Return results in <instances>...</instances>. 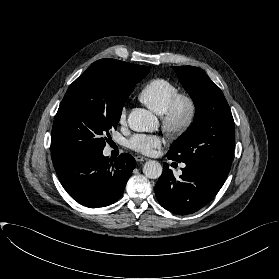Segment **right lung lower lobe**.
Wrapping results in <instances>:
<instances>
[{"instance_id":"right-lung-lower-lobe-1","label":"right lung lower lobe","mask_w":279,"mask_h":279,"mask_svg":"<svg viewBox=\"0 0 279 279\" xmlns=\"http://www.w3.org/2000/svg\"><path fill=\"white\" fill-rule=\"evenodd\" d=\"M102 152L53 163L64 189L74 200L89 208L116 202L135 167V159L127 153L111 160Z\"/></svg>"}]
</instances>
